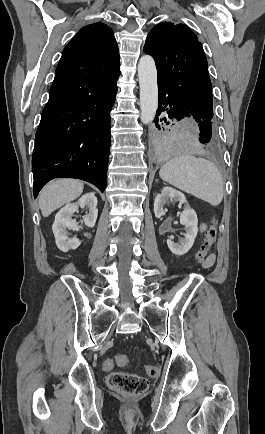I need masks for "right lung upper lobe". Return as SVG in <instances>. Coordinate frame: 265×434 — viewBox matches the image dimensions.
Wrapping results in <instances>:
<instances>
[{
    "mask_svg": "<svg viewBox=\"0 0 265 434\" xmlns=\"http://www.w3.org/2000/svg\"><path fill=\"white\" fill-rule=\"evenodd\" d=\"M113 30L103 23H93L81 28L64 48L62 54L80 56L118 54Z\"/></svg>",
    "mask_w": 265,
    "mask_h": 434,
    "instance_id": "obj_1",
    "label": "right lung upper lobe"
}]
</instances>
